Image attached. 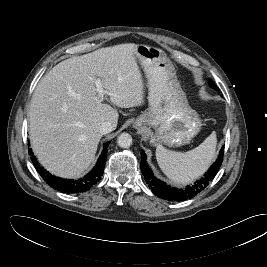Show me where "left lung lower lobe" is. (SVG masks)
<instances>
[{"instance_id": "obj_1", "label": "left lung lower lobe", "mask_w": 267, "mask_h": 267, "mask_svg": "<svg viewBox=\"0 0 267 267\" xmlns=\"http://www.w3.org/2000/svg\"><path fill=\"white\" fill-rule=\"evenodd\" d=\"M223 152L224 148L220 150L218 159L204 175L203 178L198 180L194 185L187 186L185 189L172 188L157 179L145 161L146 155L143 150H141V171L153 194L169 201H184L186 199L196 196L215 177L223 161Z\"/></svg>"}]
</instances>
